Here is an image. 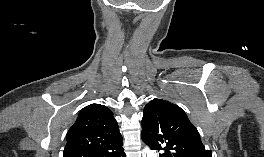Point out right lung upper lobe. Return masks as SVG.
Instances as JSON below:
<instances>
[{"label": "right lung upper lobe", "instance_id": "cb5924a9", "mask_svg": "<svg viewBox=\"0 0 264 157\" xmlns=\"http://www.w3.org/2000/svg\"><path fill=\"white\" fill-rule=\"evenodd\" d=\"M122 146V136L106 106L91 104L83 108L67 133L63 157H102Z\"/></svg>", "mask_w": 264, "mask_h": 157}]
</instances>
